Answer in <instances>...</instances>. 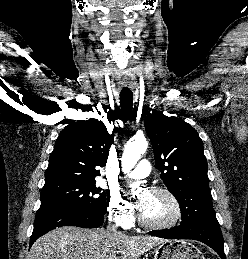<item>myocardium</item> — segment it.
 I'll return each mask as SVG.
<instances>
[{"label": "myocardium", "mask_w": 248, "mask_h": 259, "mask_svg": "<svg viewBox=\"0 0 248 259\" xmlns=\"http://www.w3.org/2000/svg\"><path fill=\"white\" fill-rule=\"evenodd\" d=\"M150 192L160 193V194L165 195L173 205L174 214L166 222L151 223V222L146 221L140 213L138 216L139 224L141 226H143L144 228L152 229V230H165V229L174 227L180 221V219L182 217V207H181V204H180L178 198L175 196V194L172 191H170L169 189H167L165 187H161V186L152 187L150 189Z\"/></svg>", "instance_id": "obj_1"}]
</instances>
